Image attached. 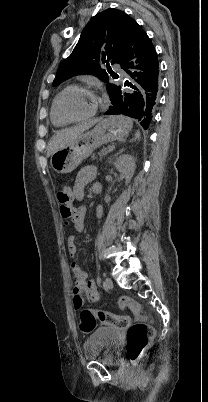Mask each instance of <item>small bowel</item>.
Wrapping results in <instances>:
<instances>
[{
	"label": "small bowel",
	"instance_id": "c3829d8e",
	"mask_svg": "<svg viewBox=\"0 0 208 402\" xmlns=\"http://www.w3.org/2000/svg\"><path fill=\"white\" fill-rule=\"evenodd\" d=\"M95 177V169L93 167H84L82 168L75 179L73 191L75 198L77 200H82L85 195V187L86 185L92 181ZM86 209L84 206H80L76 209L77 213V221L74 223L75 228L78 231H83L84 224L83 218L85 216ZM101 210H99V214ZM67 247L69 250V254L73 257L76 255V246L75 239L73 236H70L67 241ZM73 277H74V286H73V302L76 307H80L85 299L96 303L101 299L100 292L98 290L97 284L93 280H87L85 273L76 265H72ZM85 295V298L83 297Z\"/></svg>",
	"mask_w": 208,
	"mask_h": 402
}]
</instances>
